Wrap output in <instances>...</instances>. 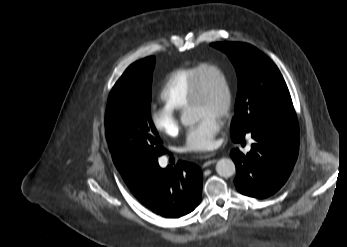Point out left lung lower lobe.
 I'll return each mask as SVG.
<instances>
[{
  "label": "left lung lower lobe",
  "instance_id": "obj_1",
  "mask_svg": "<svg viewBox=\"0 0 347 247\" xmlns=\"http://www.w3.org/2000/svg\"><path fill=\"white\" fill-rule=\"evenodd\" d=\"M248 133L255 141L250 152L244 155L239 149H233L230 153L237 171L234 182L240 193L266 198L285 184L297 159V118L271 119L253 127ZM245 134L231 135L232 141L241 142Z\"/></svg>",
  "mask_w": 347,
  "mask_h": 247
}]
</instances>
